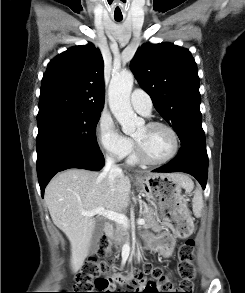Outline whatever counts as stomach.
<instances>
[{"mask_svg": "<svg viewBox=\"0 0 245 293\" xmlns=\"http://www.w3.org/2000/svg\"><path fill=\"white\" fill-rule=\"evenodd\" d=\"M137 183L145 193L147 200L154 207L157 221L175 231V233L188 235L192 232L190 212L187 201L182 195L183 186L169 175H147L137 177ZM190 228L180 230L184 222ZM150 250L160 249L159 236L151 235L147 240Z\"/></svg>", "mask_w": 245, "mask_h": 293, "instance_id": "stomach-1", "label": "stomach"}]
</instances>
